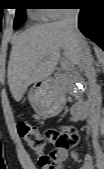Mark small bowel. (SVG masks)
Segmentation results:
<instances>
[{
	"label": "small bowel",
	"instance_id": "obj_1",
	"mask_svg": "<svg viewBox=\"0 0 104 169\" xmlns=\"http://www.w3.org/2000/svg\"><path fill=\"white\" fill-rule=\"evenodd\" d=\"M68 148L69 147H61L56 145V148L51 154L52 157V165L50 169H61L63 164L68 158ZM80 169H94L93 159L89 154L84 155L83 164Z\"/></svg>",
	"mask_w": 104,
	"mask_h": 169
}]
</instances>
